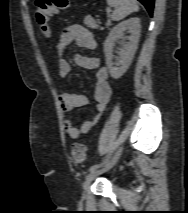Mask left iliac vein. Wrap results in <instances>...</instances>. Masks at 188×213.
Returning a JSON list of instances; mask_svg holds the SVG:
<instances>
[{
    "instance_id": "left-iliac-vein-1",
    "label": "left iliac vein",
    "mask_w": 188,
    "mask_h": 213,
    "mask_svg": "<svg viewBox=\"0 0 188 213\" xmlns=\"http://www.w3.org/2000/svg\"><path fill=\"white\" fill-rule=\"evenodd\" d=\"M121 152H122V148H119V150L114 154V156L110 160H108L101 169H97V170H95L93 172H90L87 175V177H86V179L84 181V184H83L84 193H86L88 191L92 180L96 176L108 171L109 169H111L117 163V161H118V159H119V157L121 155Z\"/></svg>"
}]
</instances>
